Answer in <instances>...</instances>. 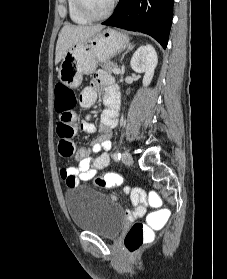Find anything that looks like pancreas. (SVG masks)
<instances>
[{"label": "pancreas", "instance_id": "cf45deb5", "mask_svg": "<svg viewBox=\"0 0 227 279\" xmlns=\"http://www.w3.org/2000/svg\"><path fill=\"white\" fill-rule=\"evenodd\" d=\"M101 68L109 73H114V68H117L118 65L115 62L112 61H106L100 64Z\"/></svg>", "mask_w": 227, "mask_h": 279}]
</instances>
